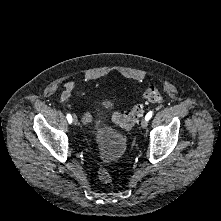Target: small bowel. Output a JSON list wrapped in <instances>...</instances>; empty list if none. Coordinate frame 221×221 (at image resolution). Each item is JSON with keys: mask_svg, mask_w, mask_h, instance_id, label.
I'll list each match as a JSON object with an SVG mask.
<instances>
[{"mask_svg": "<svg viewBox=\"0 0 221 221\" xmlns=\"http://www.w3.org/2000/svg\"><path fill=\"white\" fill-rule=\"evenodd\" d=\"M76 88H77V85L73 81H68L64 83L63 92L61 94L60 101L62 103L68 102L72 96V91L75 90Z\"/></svg>", "mask_w": 221, "mask_h": 221, "instance_id": "obj_1", "label": "small bowel"}]
</instances>
